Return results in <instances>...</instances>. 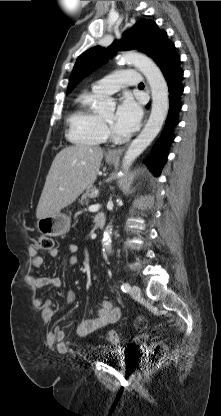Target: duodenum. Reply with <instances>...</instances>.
<instances>
[{"label":"duodenum","instance_id":"duodenum-1","mask_svg":"<svg viewBox=\"0 0 221 416\" xmlns=\"http://www.w3.org/2000/svg\"><path fill=\"white\" fill-rule=\"evenodd\" d=\"M105 222H106V218H105V216H103V215L98 216V217L96 218V222H95L96 227H97V228H103V227H104V225H105Z\"/></svg>","mask_w":221,"mask_h":416}]
</instances>
